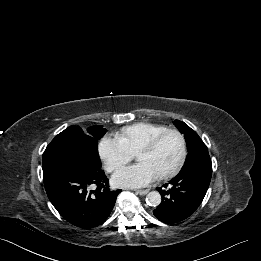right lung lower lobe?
I'll list each match as a JSON object with an SVG mask.
<instances>
[{
    "mask_svg": "<svg viewBox=\"0 0 261 261\" xmlns=\"http://www.w3.org/2000/svg\"><path fill=\"white\" fill-rule=\"evenodd\" d=\"M49 200L68 222L90 229L102 224L111 213L121 190L110 191L101 166L91 161L81 140L65 163L50 171L43 169Z\"/></svg>",
    "mask_w": 261,
    "mask_h": 261,
    "instance_id": "right-lung-lower-lobe-1",
    "label": "right lung lower lobe"
}]
</instances>
